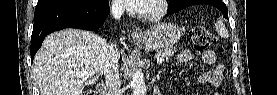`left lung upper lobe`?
Instances as JSON below:
<instances>
[{"instance_id":"obj_1","label":"left lung upper lobe","mask_w":277,"mask_h":95,"mask_svg":"<svg viewBox=\"0 0 277 95\" xmlns=\"http://www.w3.org/2000/svg\"><path fill=\"white\" fill-rule=\"evenodd\" d=\"M185 0H169V6H168V10L174 6H177L179 4H181L182 2H184Z\"/></svg>"}]
</instances>
